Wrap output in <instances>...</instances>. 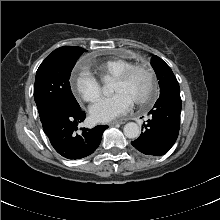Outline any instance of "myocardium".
<instances>
[{"mask_svg":"<svg viewBox=\"0 0 220 220\" xmlns=\"http://www.w3.org/2000/svg\"><path fill=\"white\" fill-rule=\"evenodd\" d=\"M138 71L144 72L148 78V89L146 94L139 100L135 101L137 105L143 106L152 102L157 93L155 74L153 70L149 67V65H147L146 63L133 64L132 66L127 68L121 75H119L116 78V81L126 82L133 76V74Z\"/></svg>","mask_w":220,"mask_h":220,"instance_id":"myocardium-1","label":"myocardium"}]
</instances>
